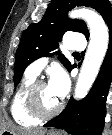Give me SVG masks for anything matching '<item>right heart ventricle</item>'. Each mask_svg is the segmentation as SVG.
I'll use <instances>...</instances> for the list:
<instances>
[{
	"label": "right heart ventricle",
	"mask_w": 112,
	"mask_h": 135,
	"mask_svg": "<svg viewBox=\"0 0 112 135\" xmlns=\"http://www.w3.org/2000/svg\"><path fill=\"white\" fill-rule=\"evenodd\" d=\"M36 81V76L26 74L17 88L10 105L13 120L22 127H32L39 120L33 117L26 107V94L30 86Z\"/></svg>",
	"instance_id": "1"
}]
</instances>
